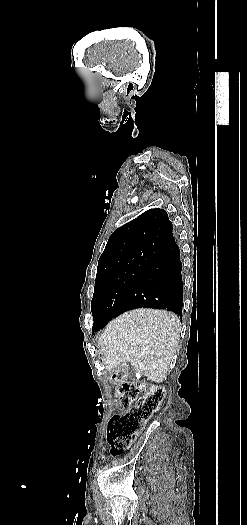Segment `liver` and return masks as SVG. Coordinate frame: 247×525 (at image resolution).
Returning a JSON list of instances; mask_svg holds the SVG:
<instances>
[{
    "mask_svg": "<svg viewBox=\"0 0 247 525\" xmlns=\"http://www.w3.org/2000/svg\"><path fill=\"white\" fill-rule=\"evenodd\" d=\"M180 319L170 311L133 309L108 323L97 343L107 371L130 363L153 383H163L176 361Z\"/></svg>",
    "mask_w": 247,
    "mask_h": 525,
    "instance_id": "liver-1",
    "label": "liver"
}]
</instances>
